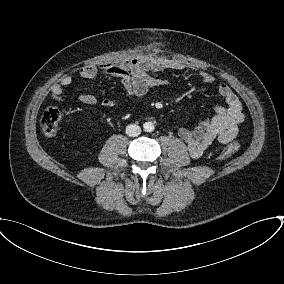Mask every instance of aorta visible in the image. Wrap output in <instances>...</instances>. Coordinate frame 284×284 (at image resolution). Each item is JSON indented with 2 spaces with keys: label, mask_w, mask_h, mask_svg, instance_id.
Listing matches in <instances>:
<instances>
[{
  "label": "aorta",
  "mask_w": 284,
  "mask_h": 284,
  "mask_svg": "<svg viewBox=\"0 0 284 284\" xmlns=\"http://www.w3.org/2000/svg\"><path fill=\"white\" fill-rule=\"evenodd\" d=\"M143 128L146 132H152L155 129L153 122H145Z\"/></svg>",
  "instance_id": "aorta-1"
}]
</instances>
